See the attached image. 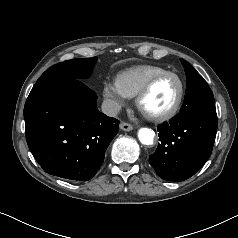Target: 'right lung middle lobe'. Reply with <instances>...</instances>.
<instances>
[{
	"mask_svg": "<svg viewBox=\"0 0 238 238\" xmlns=\"http://www.w3.org/2000/svg\"><path fill=\"white\" fill-rule=\"evenodd\" d=\"M96 59V57L72 59L58 63L46 70L37 83L86 78L90 75Z\"/></svg>",
	"mask_w": 238,
	"mask_h": 238,
	"instance_id": "1",
	"label": "right lung middle lobe"
}]
</instances>
